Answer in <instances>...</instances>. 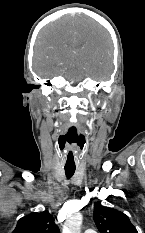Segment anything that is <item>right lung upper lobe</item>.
<instances>
[{"instance_id":"cb5924a9","label":"right lung upper lobe","mask_w":145,"mask_h":233,"mask_svg":"<svg viewBox=\"0 0 145 233\" xmlns=\"http://www.w3.org/2000/svg\"><path fill=\"white\" fill-rule=\"evenodd\" d=\"M13 233H60V230L54 223L53 216L44 211L22 217Z\"/></svg>"}]
</instances>
